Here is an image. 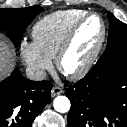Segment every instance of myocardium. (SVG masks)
Returning <instances> with one entry per match:
<instances>
[{
  "mask_svg": "<svg viewBox=\"0 0 127 127\" xmlns=\"http://www.w3.org/2000/svg\"><path fill=\"white\" fill-rule=\"evenodd\" d=\"M93 16L97 17L102 24V33H101L99 42L96 45V47L94 48V50L92 51V53L90 54V56L88 57V59L86 60V62L81 67H79L78 69L73 70V71H66L64 68V60H65V58L72 46L74 38H75L79 28L82 26V24L87 19H89L90 17H93ZM106 35H107V26H106L105 20L103 19V17L101 15H99L96 12H87L86 14H84L69 29L68 33L66 34V36H65L57 54H56L55 62H56V66H57L58 70L63 75H65L67 78L72 79V80L80 79L83 76H85L91 70L93 65L95 64L103 46H104V43L106 40Z\"/></svg>",
  "mask_w": 127,
  "mask_h": 127,
  "instance_id": "f54148a6",
  "label": "myocardium"
}]
</instances>
